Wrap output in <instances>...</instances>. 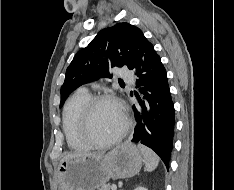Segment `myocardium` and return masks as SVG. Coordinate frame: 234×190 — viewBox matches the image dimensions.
Segmentation results:
<instances>
[{
    "instance_id": "f54148a6",
    "label": "myocardium",
    "mask_w": 234,
    "mask_h": 190,
    "mask_svg": "<svg viewBox=\"0 0 234 190\" xmlns=\"http://www.w3.org/2000/svg\"><path fill=\"white\" fill-rule=\"evenodd\" d=\"M103 102H112L116 104L122 111L124 116V126L123 128L112 138L104 141H97L93 138L90 125L91 118L95 107ZM132 122L129 117V114L124 106V104L115 96L110 94H99L91 96L86 103L84 104L79 121V132L83 140L90 146L95 148H103L116 144L120 140H122L126 134L129 132L131 128Z\"/></svg>"
}]
</instances>
